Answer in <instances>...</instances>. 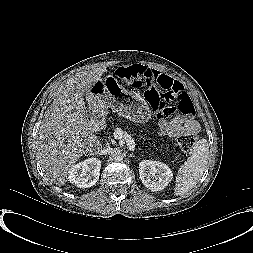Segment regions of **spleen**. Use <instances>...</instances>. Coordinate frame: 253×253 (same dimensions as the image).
Returning a JSON list of instances; mask_svg holds the SVG:
<instances>
[{"label": "spleen", "mask_w": 253, "mask_h": 253, "mask_svg": "<svg viewBox=\"0 0 253 253\" xmlns=\"http://www.w3.org/2000/svg\"><path fill=\"white\" fill-rule=\"evenodd\" d=\"M209 158V147L206 139L197 141L190 157L178 170L174 194L181 196L191 190L202 177Z\"/></svg>", "instance_id": "obj_1"}]
</instances>
